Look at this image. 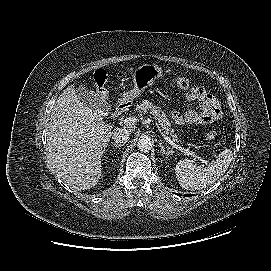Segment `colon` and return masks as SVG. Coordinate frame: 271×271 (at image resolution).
Instances as JSON below:
<instances>
[{
	"mask_svg": "<svg viewBox=\"0 0 271 271\" xmlns=\"http://www.w3.org/2000/svg\"><path fill=\"white\" fill-rule=\"evenodd\" d=\"M105 82H106V76L104 73L100 72L94 76L95 90H96V93L101 98L107 97V89L105 87ZM172 82L176 87L180 89H187L190 86L189 79L182 76L174 77L172 79ZM216 136H217V133L215 131H209L207 134V138L210 140L215 139Z\"/></svg>",
	"mask_w": 271,
	"mask_h": 271,
	"instance_id": "obj_1",
	"label": "colon"
}]
</instances>
